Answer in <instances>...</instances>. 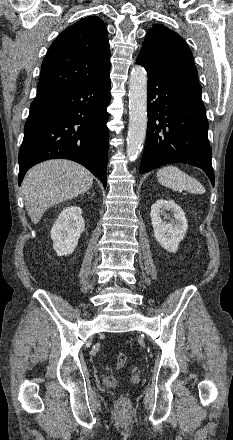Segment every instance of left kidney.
I'll return each instance as SVG.
<instances>
[{
  "label": "left kidney",
  "mask_w": 233,
  "mask_h": 440,
  "mask_svg": "<svg viewBox=\"0 0 233 440\" xmlns=\"http://www.w3.org/2000/svg\"><path fill=\"white\" fill-rule=\"evenodd\" d=\"M166 211H171L174 219H170ZM150 216L156 240L165 250L175 253L188 230L182 208L172 200L159 199L151 206ZM162 217L170 222H164Z\"/></svg>",
  "instance_id": "obj_1"
}]
</instances>
